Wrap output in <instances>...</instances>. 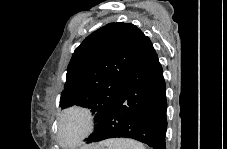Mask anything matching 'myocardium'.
<instances>
[{"instance_id": "obj_1", "label": "myocardium", "mask_w": 227, "mask_h": 149, "mask_svg": "<svg viewBox=\"0 0 227 149\" xmlns=\"http://www.w3.org/2000/svg\"><path fill=\"white\" fill-rule=\"evenodd\" d=\"M73 120H78L81 123L80 130L70 139L65 136L67 125ZM94 117L92 112L80 105H73L65 108L58 116L56 139L62 146H77L80 145L93 131Z\"/></svg>"}]
</instances>
